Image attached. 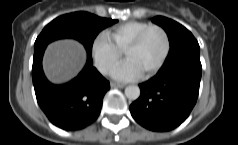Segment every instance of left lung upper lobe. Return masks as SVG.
<instances>
[{"label": "left lung upper lobe", "instance_id": "5c2ea615", "mask_svg": "<svg viewBox=\"0 0 238 145\" xmlns=\"http://www.w3.org/2000/svg\"><path fill=\"white\" fill-rule=\"evenodd\" d=\"M152 21L166 31L170 42V50L162 67L172 65L190 55H200L197 40L184 26L163 16H156Z\"/></svg>", "mask_w": 238, "mask_h": 145}]
</instances>
